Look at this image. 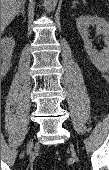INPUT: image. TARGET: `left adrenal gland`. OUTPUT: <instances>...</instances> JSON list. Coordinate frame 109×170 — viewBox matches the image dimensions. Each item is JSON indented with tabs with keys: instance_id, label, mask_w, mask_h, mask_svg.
<instances>
[{
	"instance_id": "left-adrenal-gland-1",
	"label": "left adrenal gland",
	"mask_w": 109,
	"mask_h": 170,
	"mask_svg": "<svg viewBox=\"0 0 109 170\" xmlns=\"http://www.w3.org/2000/svg\"><path fill=\"white\" fill-rule=\"evenodd\" d=\"M76 4H77V2H76V1H74V2H73V8L75 7V5H76Z\"/></svg>"
}]
</instances>
